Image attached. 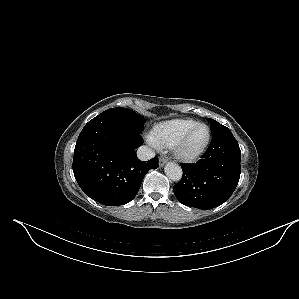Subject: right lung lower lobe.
<instances>
[{
  "label": "right lung lower lobe",
  "instance_id": "98d812e1",
  "mask_svg": "<svg viewBox=\"0 0 299 299\" xmlns=\"http://www.w3.org/2000/svg\"><path fill=\"white\" fill-rule=\"evenodd\" d=\"M140 133L112 116L98 115L81 131L74 150L73 172L83 192L106 205H123L137 195L144 176L158 168V158L142 162L135 149Z\"/></svg>",
  "mask_w": 299,
  "mask_h": 299
}]
</instances>
